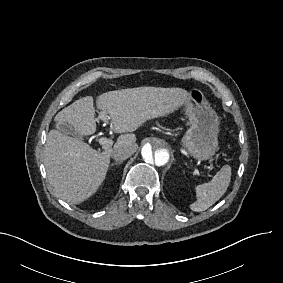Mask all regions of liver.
Segmentation results:
<instances>
[{
	"label": "liver",
	"mask_w": 283,
	"mask_h": 283,
	"mask_svg": "<svg viewBox=\"0 0 283 283\" xmlns=\"http://www.w3.org/2000/svg\"><path fill=\"white\" fill-rule=\"evenodd\" d=\"M190 93L182 88L137 87L103 93L97 97L101 114H109L116 133L133 132L149 119L166 116L189 102ZM58 124L72 125L80 135L96 131L93 97L86 96L61 110ZM128 145L137 150L136 136L122 134L114 146ZM44 165L49 183L58 197L80 204L94 194L105 179L111 149L98 152L82 140L57 129L46 139Z\"/></svg>",
	"instance_id": "6515ba94"
}]
</instances>
